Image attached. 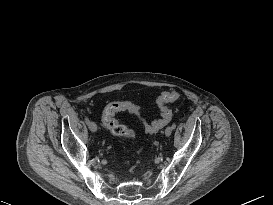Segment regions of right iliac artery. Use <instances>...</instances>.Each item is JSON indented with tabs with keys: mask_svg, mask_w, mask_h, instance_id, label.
<instances>
[{
	"mask_svg": "<svg viewBox=\"0 0 273 205\" xmlns=\"http://www.w3.org/2000/svg\"><path fill=\"white\" fill-rule=\"evenodd\" d=\"M84 120H85L86 124H88L90 122L88 117H85Z\"/></svg>",
	"mask_w": 273,
	"mask_h": 205,
	"instance_id": "82829eb1",
	"label": "right iliac artery"
}]
</instances>
